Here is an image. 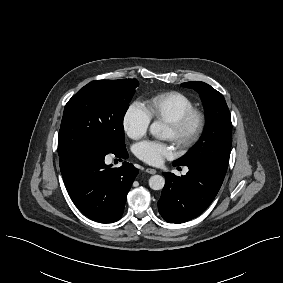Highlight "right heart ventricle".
Instances as JSON below:
<instances>
[{"label":"right heart ventricle","mask_w":283,"mask_h":283,"mask_svg":"<svg viewBox=\"0 0 283 283\" xmlns=\"http://www.w3.org/2000/svg\"><path fill=\"white\" fill-rule=\"evenodd\" d=\"M145 107L151 119L168 122L192 109L194 104L182 92L167 91L150 97Z\"/></svg>","instance_id":"obj_1"}]
</instances>
